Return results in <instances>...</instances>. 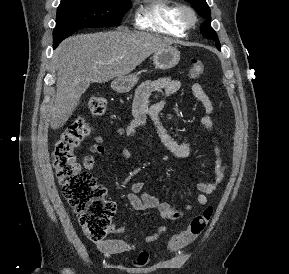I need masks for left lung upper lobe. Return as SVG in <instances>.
Instances as JSON below:
<instances>
[{
	"label": "left lung upper lobe",
	"instance_id": "obj_1",
	"mask_svg": "<svg viewBox=\"0 0 289 274\" xmlns=\"http://www.w3.org/2000/svg\"><path fill=\"white\" fill-rule=\"evenodd\" d=\"M191 3V6L202 16L206 21L201 25V33L207 39H211L216 42L215 46L220 50V43L216 32L210 26V8L205 0H186Z\"/></svg>",
	"mask_w": 289,
	"mask_h": 274
}]
</instances>
